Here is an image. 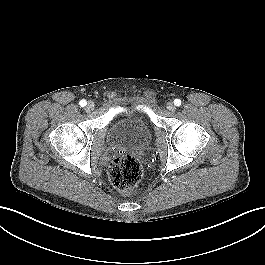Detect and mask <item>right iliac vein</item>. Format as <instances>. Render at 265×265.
Returning a JSON list of instances; mask_svg holds the SVG:
<instances>
[{
  "instance_id": "1",
  "label": "right iliac vein",
  "mask_w": 265,
  "mask_h": 265,
  "mask_svg": "<svg viewBox=\"0 0 265 265\" xmlns=\"http://www.w3.org/2000/svg\"><path fill=\"white\" fill-rule=\"evenodd\" d=\"M95 105L92 101L88 102L87 106H86V110L87 111H92L94 109Z\"/></svg>"
}]
</instances>
